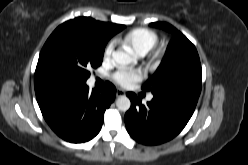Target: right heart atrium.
<instances>
[{"label": "right heart atrium", "mask_w": 248, "mask_h": 165, "mask_svg": "<svg viewBox=\"0 0 248 165\" xmlns=\"http://www.w3.org/2000/svg\"><path fill=\"white\" fill-rule=\"evenodd\" d=\"M114 46H115L114 42H109L105 47L103 54L105 60H109L111 58L114 51Z\"/></svg>", "instance_id": "d8ad5b80"}]
</instances>
